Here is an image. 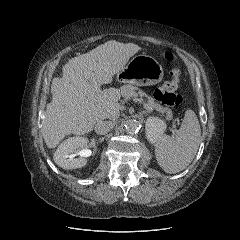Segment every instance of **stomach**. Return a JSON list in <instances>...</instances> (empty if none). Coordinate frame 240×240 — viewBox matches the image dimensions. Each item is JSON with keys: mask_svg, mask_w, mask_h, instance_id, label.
I'll use <instances>...</instances> for the list:
<instances>
[{"mask_svg": "<svg viewBox=\"0 0 240 240\" xmlns=\"http://www.w3.org/2000/svg\"><path fill=\"white\" fill-rule=\"evenodd\" d=\"M163 76L164 71L159 62L149 55L141 54L129 61L117 74V79L137 86H150L161 82Z\"/></svg>", "mask_w": 240, "mask_h": 240, "instance_id": "0dacf381", "label": "stomach"}]
</instances>
